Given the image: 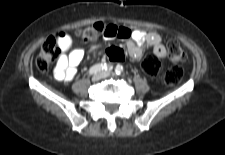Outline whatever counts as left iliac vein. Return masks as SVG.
Returning a JSON list of instances; mask_svg holds the SVG:
<instances>
[{
  "label": "left iliac vein",
  "instance_id": "obj_1",
  "mask_svg": "<svg viewBox=\"0 0 225 155\" xmlns=\"http://www.w3.org/2000/svg\"><path fill=\"white\" fill-rule=\"evenodd\" d=\"M111 75L110 72H102V78L109 77Z\"/></svg>",
  "mask_w": 225,
  "mask_h": 155
}]
</instances>
